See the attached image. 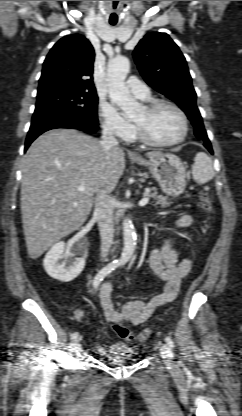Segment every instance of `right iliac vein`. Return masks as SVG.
<instances>
[{"label":"right iliac vein","mask_w":242,"mask_h":416,"mask_svg":"<svg viewBox=\"0 0 242 416\" xmlns=\"http://www.w3.org/2000/svg\"><path fill=\"white\" fill-rule=\"evenodd\" d=\"M73 350L74 351H79V349H80V342H79V340H76L74 343H73Z\"/></svg>","instance_id":"obj_1"}]
</instances>
